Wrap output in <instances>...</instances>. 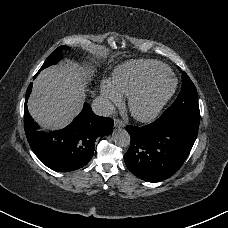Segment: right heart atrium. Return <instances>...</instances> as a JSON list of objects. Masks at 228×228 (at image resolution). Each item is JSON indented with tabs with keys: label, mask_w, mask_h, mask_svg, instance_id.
I'll return each mask as SVG.
<instances>
[{
	"label": "right heart atrium",
	"mask_w": 228,
	"mask_h": 228,
	"mask_svg": "<svg viewBox=\"0 0 228 228\" xmlns=\"http://www.w3.org/2000/svg\"><path fill=\"white\" fill-rule=\"evenodd\" d=\"M101 96L106 103L120 104L122 95L120 91L109 81H103L101 85Z\"/></svg>",
	"instance_id": "d8ad5b80"
}]
</instances>
